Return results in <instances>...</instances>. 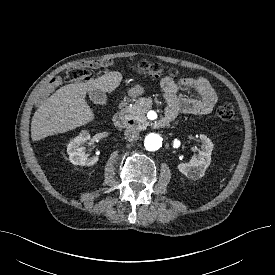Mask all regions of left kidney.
Returning a JSON list of instances; mask_svg holds the SVG:
<instances>
[{
	"instance_id": "1",
	"label": "left kidney",
	"mask_w": 275,
	"mask_h": 275,
	"mask_svg": "<svg viewBox=\"0 0 275 275\" xmlns=\"http://www.w3.org/2000/svg\"><path fill=\"white\" fill-rule=\"evenodd\" d=\"M200 141L202 143L201 150L194 155L189 163H180L178 170L187 178L197 180L204 176L206 169L211 163V154L213 143L207 136L201 134Z\"/></svg>"
}]
</instances>
